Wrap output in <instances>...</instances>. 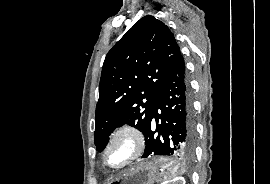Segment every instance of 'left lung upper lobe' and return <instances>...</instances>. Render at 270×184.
Masks as SVG:
<instances>
[{
  "label": "left lung upper lobe",
  "mask_w": 270,
  "mask_h": 184,
  "mask_svg": "<svg viewBox=\"0 0 270 184\" xmlns=\"http://www.w3.org/2000/svg\"><path fill=\"white\" fill-rule=\"evenodd\" d=\"M181 56L170 29L154 16L141 18L106 55L99 84L94 141L101 152L115 127L144 134L157 94Z\"/></svg>",
  "instance_id": "left-lung-upper-lobe-1"
}]
</instances>
